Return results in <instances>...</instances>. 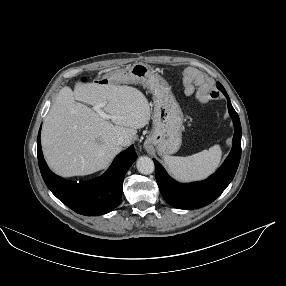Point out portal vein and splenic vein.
<instances>
[{
    "mask_svg": "<svg viewBox=\"0 0 286 286\" xmlns=\"http://www.w3.org/2000/svg\"><path fill=\"white\" fill-rule=\"evenodd\" d=\"M106 105L105 102L100 103L96 106L93 107V109L103 118V119H111V116L106 114L104 111L101 110L102 107H104Z\"/></svg>",
    "mask_w": 286,
    "mask_h": 286,
    "instance_id": "1",
    "label": "portal vein and splenic vein"
}]
</instances>
